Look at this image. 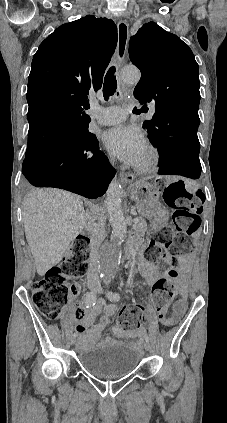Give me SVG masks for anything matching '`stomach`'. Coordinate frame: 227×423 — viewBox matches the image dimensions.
<instances>
[{"label":"stomach","instance_id":"stomach-1","mask_svg":"<svg viewBox=\"0 0 227 423\" xmlns=\"http://www.w3.org/2000/svg\"><path fill=\"white\" fill-rule=\"evenodd\" d=\"M128 192L131 194V198L135 200L137 210L143 215H147L152 208H155L159 200V192L153 184H149L146 180H138L135 184H131Z\"/></svg>","mask_w":227,"mask_h":423}]
</instances>
